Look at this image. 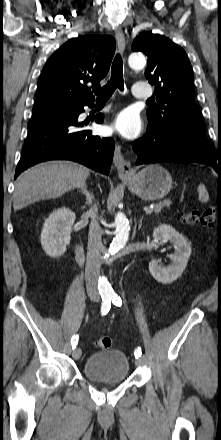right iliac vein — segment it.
<instances>
[{
    "instance_id": "1",
    "label": "right iliac vein",
    "mask_w": 221,
    "mask_h": 440,
    "mask_svg": "<svg viewBox=\"0 0 221 440\" xmlns=\"http://www.w3.org/2000/svg\"><path fill=\"white\" fill-rule=\"evenodd\" d=\"M81 355H82L81 349L80 348H75L73 353H72L73 358L77 360V359H79L81 357Z\"/></svg>"
}]
</instances>
